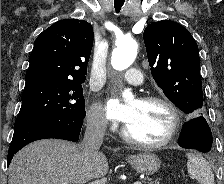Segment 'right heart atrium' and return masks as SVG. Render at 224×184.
Listing matches in <instances>:
<instances>
[{
    "label": "right heart atrium",
    "mask_w": 224,
    "mask_h": 184,
    "mask_svg": "<svg viewBox=\"0 0 224 184\" xmlns=\"http://www.w3.org/2000/svg\"><path fill=\"white\" fill-rule=\"evenodd\" d=\"M87 124L95 131H104L107 126V121L104 112L99 104H93L87 112Z\"/></svg>",
    "instance_id": "1"
}]
</instances>
